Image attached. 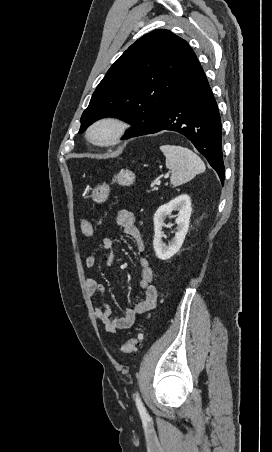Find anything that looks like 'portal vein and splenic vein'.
Instances as JSON below:
<instances>
[{"label":"portal vein and splenic vein","mask_w":272,"mask_h":452,"mask_svg":"<svg viewBox=\"0 0 272 452\" xmlns=\"http://www.w3.org/2000/svg\"><path fill=\"white\" fill-rule=\"evenodd\" d=\"M166 176H168V174H167ZM160 183H161V181H160V180H157V181L155 182V185H156V186H159Z\"/></svg>","instance_id":"obj_1"}]
</instances>
